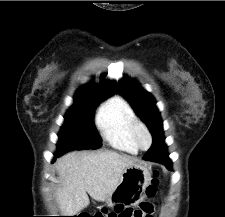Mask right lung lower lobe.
Listing matches in <instances>:
<instances>
[{
	"label": "right lung lower lobe",
	"mask_w": 225,
	"mask_h": 217,
	"mask_svg": "<svg viewBox=\"0 0 225 217\" xmlns=\"http://www.w3.org/2000/svg\"><path fill=\"white\" fill-rule=\"evenodd\" d=\"M58 156H60V155H58V154L56 153V154H55V158L58 157Z\"/></svg>",
	"instance_id": "right-lung-lower-lobe-1"
}]
</instances>
